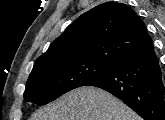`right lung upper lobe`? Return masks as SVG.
I'll return each mask as SVG.
<instances>
[{"instance_id": "cb5924a9", "label": "right lung upper lobe", "mask_w": 165, "mask_h": 120, "mask_svg": "<svg viewBox=\"0 0 165 120\" xmlns=\"http://www.w3.org/2000/svg\"><path fill=\"white\" fill-rule=\"evenodd\" d=\"M152 40L137 13L127 5L107 2L76 19L55 39L34 66L71 58L119 63Z\"/></svg>"}]
</instances>
